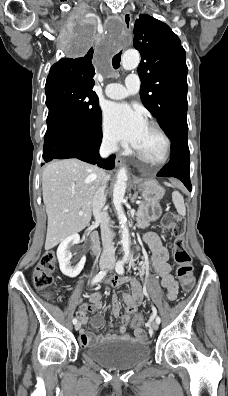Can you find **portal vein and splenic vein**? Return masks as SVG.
I'll return each instance as SVG.
<instances>
[{
	"mask_svg": "<svg viewBox=\"0 0 228 396\" xmlns=\"http://www.w3.org/2000/svg\"><path fill=\"white\" fill-rule=\"evenodd\" d=\"M79 215H83V211H79V213H78Z\"/></svg>",
	"mask_w": 228,
	"mask_h": 396,
	"instance_id": "18ae733b",
	"label": "portal vein and splenic vein"
}]
</instances>
